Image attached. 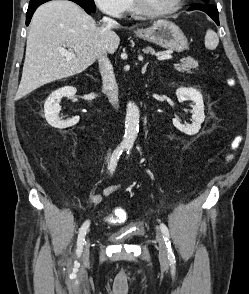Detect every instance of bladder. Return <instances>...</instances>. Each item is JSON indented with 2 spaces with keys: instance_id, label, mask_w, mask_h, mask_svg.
Here are the masks:
<instances>
[{
  "instance_id": "1",
  "label": "bladder",
  "mask_w": 249,
  "mask_h": 294,
  "mask_svg": "<svg viewBox=\"0 0 249 294\" xmlns=\"http://www.w3.org/2000/svg\"><path fill=\"white\" fill-rule=\"evenodd\" d=\"M146 233L143 230H138L137 232H128L125 230L112 233L109 235L108 239L114 243L128 242L135 238L145 237Z\"/></svg>"
}]
</instances>
